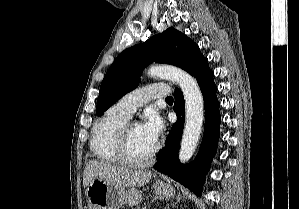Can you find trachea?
<instances>
[{"label":"trachea","instance_id":"trachea-1","mask_svg":"<svg viewBox=\"0 0 299 209\" xmlns=\"http://www.w3.org/2000/svg\"><path fill=\"white\" fill-rule=\"evenodd\" d=\"M166 101H173V97L169 96V97H166L165 99Z\"/></svg>","mask_w":299,"mask_h":209}]
</instances>
